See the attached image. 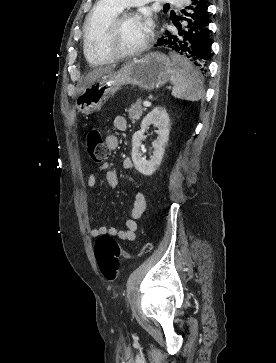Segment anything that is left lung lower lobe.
Segmentation results:
<instances>
[{"label": "left lung lower lobe", "instance_id": "1", "mask_svg": "<svg viewBox=\"0 0 276 363\" xmlns=\"http://www.w3.org/2000/svg\"><path fill=\"white\" fill-rule=\"evenodd\" d=\"M186 10L180 17H173L174 27L159 38L155 46L171 50L191 61L203 73H206L210 55V38L208 29V1L187 0ZM181 21V22H180Z\"/></svg>", "mask_w": 276, "mask_h": 363}]
</instances>
